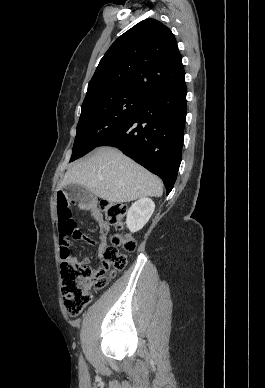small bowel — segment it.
Returning a JSON list of instances; mask_svg holds the SVG:
<instances>
[{
    "mask_svg": "<svg viewBox=\"0 0 265 388\" xmlns=\"http://www.w3.org/2000/svg\"><path fill=\"white\" fill-rule=\"evenodd\" d=\"M76 207L83 211L90 212L93 219L98 223L99 225V244H98V258L101 259L103 256V252L107 247V236L110 230L109 224L104 220L101 211L99 208L92 202H77ZM85 242L89 244H95V241L87 236H84L82 238ZM75 261V260H74ZM91 263V260L89 257H84L79 264L88 266Z\"/></svg>",
    "mask_w": 265,
    "mask_h": 388,
    "instance_id": "obj_1",
    "label": "small bowel"
}]
</instances>
